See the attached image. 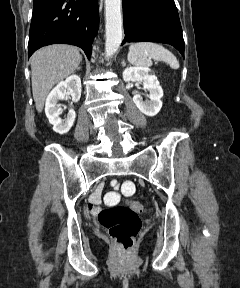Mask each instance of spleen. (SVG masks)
Instances as JSON below:
<instances>
[{"instance_id":"3e777b00","label":"spleen","mask_w":240,"mask_h":288,"mask_svg":"<svg viewBox=\"0 0 240 288\" xmlns=\"http://www.w3.org/2000/svg\"><path fill=\"white\" fill-rule=\"evenodd\" d=\"M128 61L139 67H149L153 60L165 61L173 69L179 68L176 57L162 45L152 42H138L131 44L128 52Z\"/></svg>"}]
</instances>
